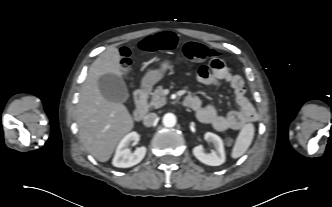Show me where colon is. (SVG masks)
<instances>
[{
    "label": "colon",
    "mask_w": 332,
    "mask_h": 207,
    "mask_svg": "<svg viewBox=\"0 0 332 207\" xmlns=\"http://www.w3.org/2000/svg\"><path fill=\"white\" fill-rule=\"evenodd\" d=\"M176 43V37L174 34L165 32L157 36H151L140 43V48L143 50H170ZM184 53L186 57L192 61L201 62L206 60H221L222 54L218 51L210 49L198 42H188L185 45ZM121 68L124 71L129 70L128 54L121 53ZM226 143L230 145L232 143L231 138L226 139Z\"/></svg>",
    "instance_id": "colon-1"
}]
</instances>
